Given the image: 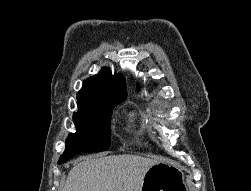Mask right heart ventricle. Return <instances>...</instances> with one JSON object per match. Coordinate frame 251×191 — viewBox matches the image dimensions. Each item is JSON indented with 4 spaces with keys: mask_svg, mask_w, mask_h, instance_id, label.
I'll list each match as a JSON object with an SVG mask.
<instances>
[{
    "mask_svg": "<svg viewBox=\"0 0 251 191\" xmlns=\"http://www.w3.org/2000/svg\"><path fill=\"white\" fill-rule=\"evenodd\" d=\"M136 123H137V114L135 112H132L129 116V126L131 128L136 127Z\"/></svg>",
    "mask_w": 251,
    "mask_h": 191,
    "instance_id": "1",
    "label": "right heart ventricle"
}]
</instances>
